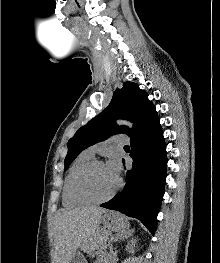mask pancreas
Returning <instances> with one entry per match:
<instances>
[{
    "label": "pancreas",
    "mask_w": 220,
    "mask_h": 263,
    "mask_svg": "<svg viewBox=\"0 0 220 263\" xmlns=\"http://www.w3.org/2000/svg\"><path fill=\"white\" fill-rule=\"evenodd\" d=\"M108 233L109 232H107L106 230H97L89 238L83 241L82 249L90 252L103 248L105 246Z\"/></svg>",
    "instance_id": "pancreas-1"
}]
</instances>
